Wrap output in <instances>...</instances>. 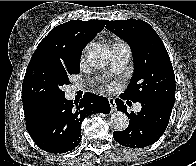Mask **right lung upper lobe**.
Instances as JSON below:
<instances>
[{
	"label": "right lung upper lobe",
	"instance_id": "1",
	"mask_svg": "<svg viewBox=\"0 0 196 166\" xmlns=\"http://www.w3.org/2000/svg\"><path fill=\"white\" fill-rule=\"evenodd\" d=\"M107 20H71L53 28L32 57H45L64 66L80 64L85 45L99 33Z\"/></svg>",
	"mask_w": 196,
	"mask_h": 166
}]
</instances>
